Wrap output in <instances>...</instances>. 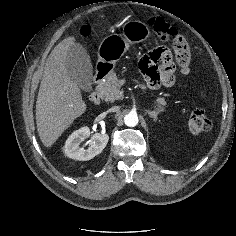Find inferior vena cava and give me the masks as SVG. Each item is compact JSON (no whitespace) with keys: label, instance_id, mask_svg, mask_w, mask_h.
<instances>
[{"label":"inferior vena cava","instance_id":"inferior-vena-cava-1","mask_svg":"<svg viewBox=\"0 0 236 236\" xmlns=\"http://www.w3.org/2000/svg\"><path fill=\"white\" fill-rule=\"evenodd\" d=\"M119 106H113L112 108L109 109L110 112H117L119 111Z\"/></svg>","mask_w":236,"mask_h":236}]
</instances>
